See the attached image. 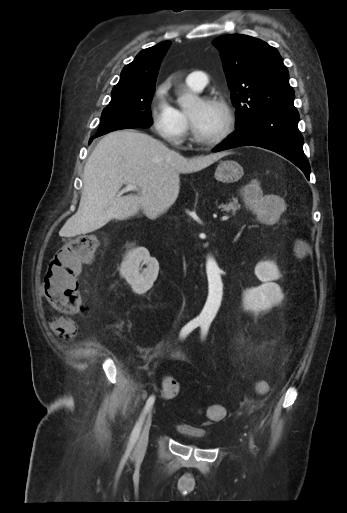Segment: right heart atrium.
<instances>
[{
  "instance_id": "obj_1",
  "label": "right heart atrium",
  "mask_w": 347,
  "mask_h": 513,
  "mask_svg": "<svg viewBox=\"0 0 347 513\" xmlns=\"http://www.w3.org/2000/svg\"><path fill=\"white\" fill-rule=\"evenodd\" d=\"M153 131L166 143L181 147L189 132L187 117L167 99V84L159 85L150 104Z\"/></svg>"
}]
</instances>
